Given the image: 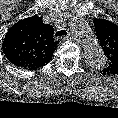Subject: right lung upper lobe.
Wrapping results in <instances>:
<instances>
[{
  "label": "right lung upper lobe",
  "mask_w": 118,
  "mask_h": 118,
  "mask_svg": "<svg viewBox=\"0 0 118 118\" xmlns=\"http://www.w3.org/2000/svg\"><path fill=\"white\" fill-rule=\"evenodd\" d=\"M53 33V27L43 23L41 17H28L8 30L3 52L13 65L36 70L47 64L56 50L58 42Z\"/></svg>",
  "instance_id": "1"
}]
</instances>
